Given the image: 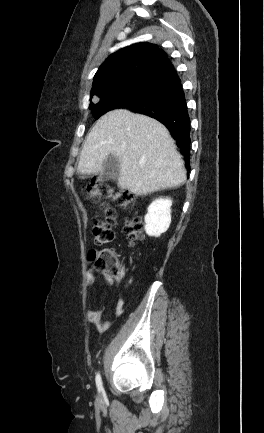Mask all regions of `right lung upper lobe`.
I'll use <instances>...</instances> for the list:
<instances>
[{"instance_id":"right-lung-upper-lobe-1","label":"right lung upper lobe","mask_w":264,"mask_h":433,"mask_svg":"<svg viewBox=\"0 0 264 433\" xmlns=\"http://www.w3.org/2000/svg\"><path fill=\"white\" fill-rule=\"evenodd\" d=\"M167 60V54L158 45L141 42L122 48L99 67L94 76L91 97H103L143 84Z\"/></svg>"}]
</instances>
